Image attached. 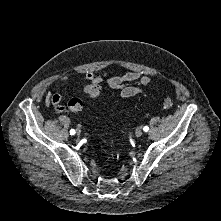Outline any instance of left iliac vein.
<instances>
[{
	"mask_svg": "<svg viewBox=\"0 0 221 221\" xmlns=\"http://www.w3.org/2000/svg\"><path fill=\"white\" fill-rule=\"evenodd\" d=\"M142 134H143V131H142L141 129H137V130L135 131V135H136L137 137L142 136Z\"/></svg>",
	"mask_w": 221,
	"mask_h": 221,
	"instance_id": "obj_1",
	"label": "left iliac vein"
}]
</instances>
